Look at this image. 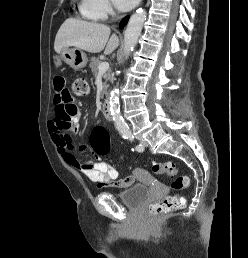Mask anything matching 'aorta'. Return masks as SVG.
<instances>
[{
  "mask_svg": "<svg viewBox=\"0 0 248 258\" xmlns=\"http://www.w3.org/2000/svg\"><path fill=\"white\" fill-rule=\"evenodd\" d=\"M146 15L147 14L145 10L139 9L135 14L131 16L128 22L124 34V55L126 58L129 56L130 52L133 50L138 42L143 24L146 20ZM109 103L110 112L118 131L122 134L130 133L129 128L120 113L119 89L117 87H114L111 91Z\"/></svg>",
  "mask_w": 248,
  "mask_h": 258,
  "instance_id": "obj_1",
  "label": "aorta"
}]
</instances>
